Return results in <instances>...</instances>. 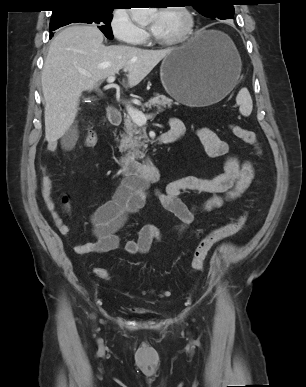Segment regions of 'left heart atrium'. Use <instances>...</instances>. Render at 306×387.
<instances>
[{
  "mask_svg": "<svg viewBox=\"0 0 306 387\" xmlns=\"http://www.w3.org/2000/svg\"><path fill=\"white\" fill-rule=\"evenodd\" d=\"M158 27H159V24L157 21L152 23V25H151L152 32L155 33L158 30Z\"/></svg>",
  "mask_w": 306,
  "mask_h": 387,
  "instance_id": "left-heart-atrium-1",
  "label": "left heart atrium"
}]
</instances>
